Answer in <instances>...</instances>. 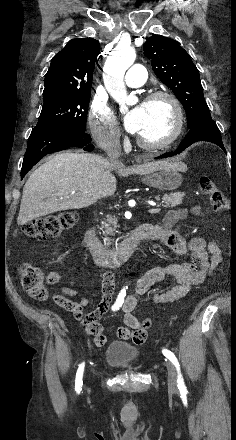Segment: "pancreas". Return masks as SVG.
<instances>
[{
	"mask_svg": "<svg viewBox=\"0 0 236 440\" xmlns=\"http://www.w3.org/2000/svg\"><path fill=\"white\" fill-rule=\"evenodd\" d=\"M185 196V193L182 192H175L171 193L169 195L165 194L162 197V201L165 204V207H175L177 205H180L182 203L183 197ZM156 200H159V196L156 197ZM113 226V227H112ZM119 227L117 225V218L115 216H107L106 221L102 222V226L100 229L103 231L104 235H114L115 228ZM107 242V245L110 244V239H105Z\"/></svg>",
	"mask_w": 236,
	"mask_h": 440,
	"instance_id": "1",
	"label": "pancreas"
}]
</instances>
